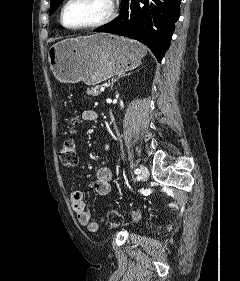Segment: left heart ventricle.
I'll use <instances>...</instances> for the list:
<instances>
[{
    "label": "left heart ventricle",
    "mask_w": 240,
    "mask_h": 281,
    "mask_svg": "<svg viewBox=\"0 0 240 281\" xmlns=\"http://www.w3.org/2000/svg\"><path fill=\"white\" fill-rule=\"evenodd\" d=\"M108 10V0H72L65 9L64 21L69 26L89 24L103 18Z\"/></svg>",
    "instance_id": "obj_1"
}]
</instances>
